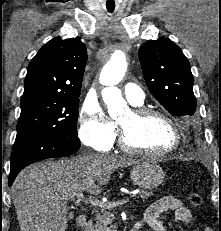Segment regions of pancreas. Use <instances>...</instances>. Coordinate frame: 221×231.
<instances>
[{
    "instance_id": "obj_1",
    "label": "pancreas",
    "mask_w": 221,
    "mask_h": 231,
    "mask_svg": "<svg viewBox=\"0 0 221 231\" xmlns=\"http://www.w3.org/2000/svg\"><path fill=\"white\" fill-rule=\"evenodd\" d=\"M139 195L143 200H145L151 196V193L141 191ZM113 219V214L110 213L108 208L102 207L101 210L96 213V223L92 227V231H116V226L112 224Z\"/></svg>"
}]
</instances>
